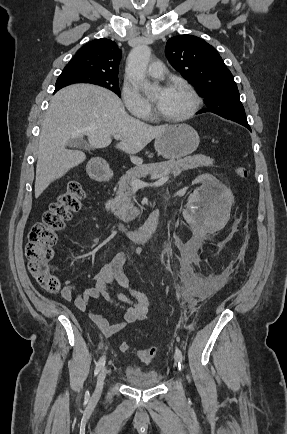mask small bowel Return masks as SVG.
<instances>
[{"instance_id": "small-bowel-1", "label": "small bowel", "mask_w": 287, "mask_h": 434, "mask_svg": "<svg viewBox=\"0 0 287 434\" xmlns=\"http://www.w3.org/2000/svg\"><path fill=\"white\" fill-rule=\"evenodd\" d=\"M126 260V253H118L98 272L92 287L79 290L74 282L68 281L61 294L65 302H73L80 312L87 313L105 338L120 332L129 324L145 319L148 314L149 298L131 287L123 271ZM114 283L126 292L115 291ZM93 299L102 300L109 307L122 309V320L110 323L107 318L94 312L90 307Z\"/></svg>"}]
</instances>
